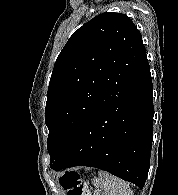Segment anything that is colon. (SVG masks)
Masks as SVG:
<instances>
[{"label": "colon", "mask_w": 178, "mask_h": 195, "mask_svg": "<svg viewBox=\"0 0 178 195\" xmlns=\"http://www.w3.org/2000/svg\"><path fill=\"white\" fill-rule=\"evenodd\" d=\"M62 187L68 191V195H90L77 172H66L60 179Z\"/></svg>", "instance_id": "5ec220e1"}]
</instances>
